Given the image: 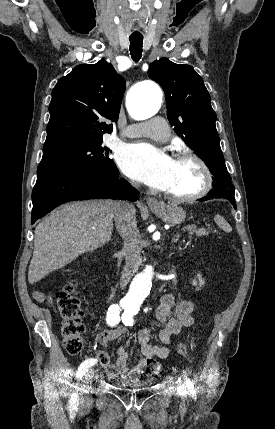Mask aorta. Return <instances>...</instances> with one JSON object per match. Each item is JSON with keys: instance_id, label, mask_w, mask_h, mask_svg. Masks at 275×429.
Segmentation results:
<instances>
[{"instance_id": "1", "label": "aorta", "mask_w": 275, "mask_h": 429, "mask_svg": "<svg viewBox=\"0 0 275 429\" xmlns=\"http://www.w3.org/2000/svg\"><path fill=\"white\" fill-rule=\"evenodd\" d=\"M163 94L159 86L153 82H143L131 89L127 97V107L130 115L137 119H147L155 115L162 104ZM152 267L137 274L130 286L126 301L130 304H139L150 293Z\"/></svg>"}]
</instances>
